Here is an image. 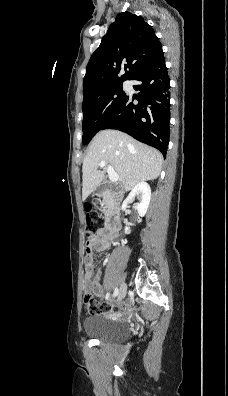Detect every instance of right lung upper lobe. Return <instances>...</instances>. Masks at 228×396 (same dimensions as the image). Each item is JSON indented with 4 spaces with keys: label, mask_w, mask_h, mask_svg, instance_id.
I'll list each match as a JSON object with an SVG mask.
<instances>
[{
    "label": "right lung upper lobe",
    "mask_w": 228,
    "mask_h": 396,
    "mask_svg": "<svg viewBox=\"0 0 228 396\" xmlns=\"http://www.w3.org/2000/svg\"><path fill=\"white\" fill-rule=\"evenodd\" d=\"M159 46L154 30L142 17L130 12L118 14L89 60L83 95L132 80ZM121 70L125 73L118 77Z\"/></svg>",
    "instance_id": "1"
}]
</instances>
